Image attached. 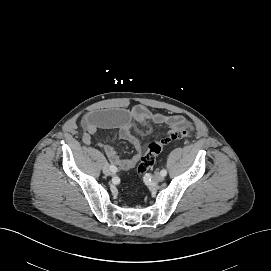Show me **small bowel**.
<instances>
[{
	"mask_svg": "<svg viewBox=\"0 0 271 271\" xmlns=\"http://www.w3.org/2000/svg\"><path fill=\"white\" fill-rule=\"evenodd\" d=\"M150 123L168 126L171 132L189 125L183 116L154 113L143 105H136L131 109L102 110L89 112L83 117V141L86 144L90 143L99 129L116 130L120 139L128 141L135 148L136 154L129 159H122L111 146L106 147V153L114 164L126 171L131 169L142 155L141 143L133 131L143 135L149 134L151 132ZM137 124L144 128H138Z\"/></svg>",
	"mask_w": 271,
	"mask_h": 271,
	"instance_id": "small-bowel-1",
	"label": "small bowel"
}]
</instances>
